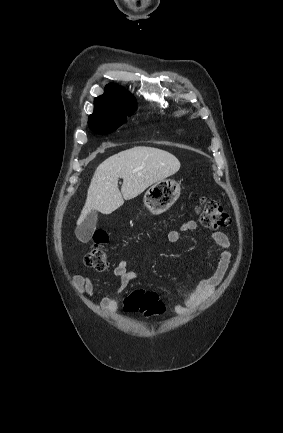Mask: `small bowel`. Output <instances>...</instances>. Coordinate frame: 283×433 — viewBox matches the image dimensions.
Wrapping results in <instances>:
<instances>
[{
    "label": "small bowel",
    "instance_id": "1",
    "mask_svg": "<svg viewBox=\"0 0 283 433\" xmlns=\"http://www.w3.org/2000/svg\"><path fill=\"white\" fill-rule=\"evenodd\" d=\"M196 229L197 223L195 221H186L180 226L179 229L171 230L168 233V241L171 243H176L180 241L183 233L194 231ZM211 239L221 249L217 266L211 273L199 280L193 290L185 298L183 303H175L173 305V310L177 314L184 315L195 310L206 298L210 297L214 293L218 285L227 274L231 261V237L226 233L215 231L211 233ZM114 275L121 282L119 293L123 292L128 287L130 282L137 277V274L134 271L129 270L128 262L126 260H121L118 262L114 269ZM74 284L81 295L92 296L94 294V287L91 279L88 276L76 275L74 277ZM100 305L102 308L108 311H116L118 308L116 299L108 294L101 299Z\"/></svg>",
    "mask_w": 283,
    "mask_h": 433
}]
</instances>
